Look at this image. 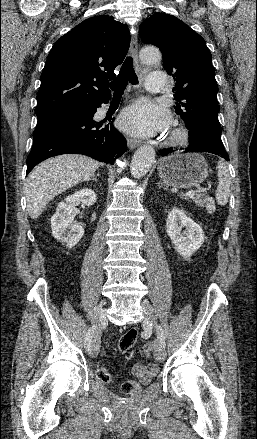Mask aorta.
I'll return each mask as SVG.
<instances>
[{
  "mask_svg": "<svg viewBox=\"0 0 257 439\" xmlns=\"http://www.w3.org/2000/svg\"><path fill=\"white\" fill-rule=\"evenodd\" d=\"M141 59L146 64L160 61L161 54L156 48H144L140 52ZM155 160V150L149 145L141 146L134 154L131 161V173L135 178L144 176L152 167Z\"/></svg>",
  "mask_w": 257,
  "mask_h": 439,
  "instance_id": "obj_1",
  "label": "aorta"
}]
</instances>
